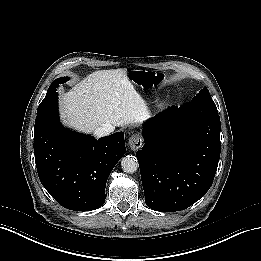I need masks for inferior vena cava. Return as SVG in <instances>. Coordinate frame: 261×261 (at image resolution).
Instances as JSON below:
<instances>
[{
	"mask_svg": "<svg viewBox=\"0 0 261 261\" xmlns=\"http://www.w3.org/2000/svg\"><path fill=\"white\" fill-rule=\"evenodd\" d=\"M115 127L111 124H106L104 126L98 127L94 131V136L97 138H101L109 135L114 131Z\"/></svg>",
	"mask_w": 261,
	"mask_h": 261,
	"instance_id": "1",
	"label": "inferior vena cava"
}]
</instances>
